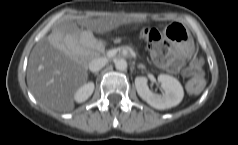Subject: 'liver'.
<instances>
[{
	"label": "liver",
	"instance_id": "1",
	"mask_svg": "<svg viewBox=\"0 0 238 145\" xmlns=\"http://www.w3.org/2000/svg\"><path fill=\"white\" fill-rule=\"evenodd\" d=\"M137 21L135 14L105 13L98 18L81 17L77 22L62 21L54 26L29 57L27 84L33 95L50 109L72 111L73 95L88 78L89 57L86 51L76 50L78 37L83 33H106Z\"/></svg>",
	"mask_w": 238,
	"mask_h": 145
}]
</instances>
